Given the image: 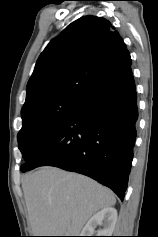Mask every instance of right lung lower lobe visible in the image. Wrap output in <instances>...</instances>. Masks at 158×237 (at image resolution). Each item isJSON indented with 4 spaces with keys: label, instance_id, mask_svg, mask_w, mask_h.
I'll return each instance as SVG.
<instances>
[{
    "label": "right lung lower lobe",
    "instance_id": "98d812e1",
    "mask_svg": "<svg viewBox=\"0 0 158 237\" xmlns=\"http://www.w3.org/2000/svg\"><path fill=\"white\" fill-rule=\"evenodd\" d=\"M131 68L90 94L38 148L22 172L52 165L89 176L123 200L138 118Z\"/></svg>",
    "mask_w": 158,
    "mask_h": 237
}]
</instances>
